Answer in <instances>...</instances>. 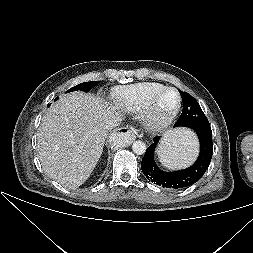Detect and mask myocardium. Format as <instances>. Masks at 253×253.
Listing matches in <instances>:
<instances>
[{
	"instance_id": "myocardium-1",
	"label": "myocardium",
	"mask_w": 253,
	"mask_h": 253,
	"mask_svg": "<svg viewBox=\"0 0 253 253\" xmlns=\"http://www.w3.org/2000/svg\"><path fill=\"white\" fill-rule=\"evenodd\" d=\"M167 91L176 92L177 97H178V102L174 110L169 115L163 118H158L156 115V107L160 98ZM181 105H182V97L179 91L175 87H165L162 90L155 93L148 100L144 110L142 111V122L144 126L152 132L161 131L165 129L166 127H168L173 122V120L176 118V116L180 112Z\"/></svg>"
}]
</instances>
